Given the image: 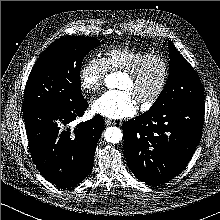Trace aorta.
Masks as SVG:
<instances>
[{"label": "aorta", "mask_w": 220, "mask_h": 220, "mask_svg": "<svg viewBox=\"0 0 220 220\" xmlns=\"http://www.w3.org/2000/svg\"><path fill=\"white\" fill-rule=\"evenodd\" d=\"M105 84L108 88L116 87V78L114 74L105 77ZM105 140L110 143H118L122 139V132L118 127H108L105 130Z\"/></svg>", "instance_id": "obj_1"}]
</instances>
